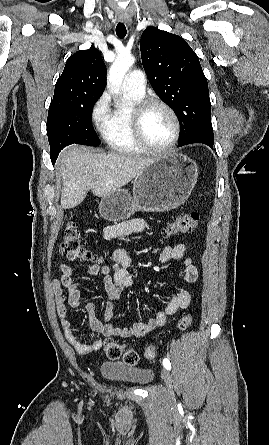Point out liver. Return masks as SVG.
<instances>
[{
  "instance_id": "liver-1",
  "label": "liver",
  "mask_w": 269,
  "mask_h": 445,
  "mask_svg": "<svg viewBox=\"0 0 269 445\" xmlns=\"http://www.w3.org/2000/svg\"><path fill=\"white\" fill-rule=\"evenodd\" d=\"M156 158L132 154H97L71 146L59 156L57 172L63 180L61 206L71 209L83 202L89 190L105 197L128 184Z\"/></svg>"
}]
</instances>
